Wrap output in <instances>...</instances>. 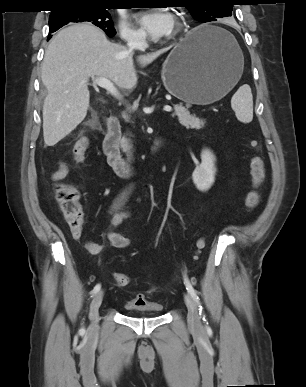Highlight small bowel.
Segmentation results:
<instances>
[{
    "label": "small bowel",
    "mask_w": 306,
    "mask_h": 387,
    "mask_svg": "<svg viewBox=\"0 0 306 387\" xmlns=\"http://www.w3.org/2000/svg\"><path fill=\"white\" fill-rule=\"evenodd\" d=\"M69 172V168L65 161L59 160L57 162V169L53 171L50 175L52 181H60L64 179ZM110 228H113L120 224L124 219L128 217V212L123 209V197L118 198L110 209ZM107 238L111 246L119 249L127 248L130 245V240L118 233L109 230L107 233ZM86 249L92 253L96 254L102 249V245L92 240L86 242ZM145 302L143 297L138 296L135 299L131 300L129 304L131 306L142 305Z\"/></svg>",
    "instance_id": "small-bowel-1"
}]
</instances>
